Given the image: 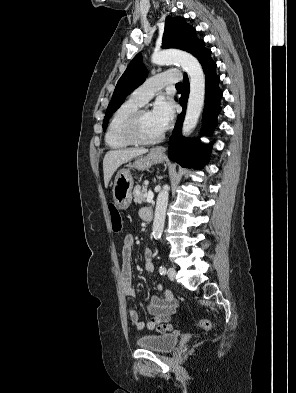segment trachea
Listing matches in <instances>:
<instances>
[{
    "instance_id": "1",
    "label": "trachea",
    "mask_w": 296,
    "mask_h": 393,
    "mask_svg": "<svg viewBox=\"0 0 296 393\" xmlns=\"http://www.w3.org/2000/svg\"><path fill=\"white\" fill-rule=\"evenodd\" d=\"M183 85H182V83H177L176 84V87H182Z\"/></svg>"
}]
</instances>
